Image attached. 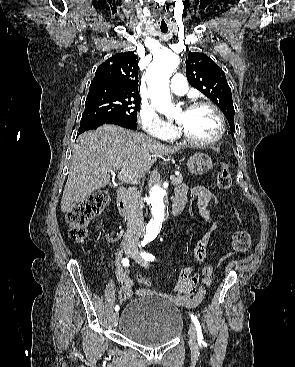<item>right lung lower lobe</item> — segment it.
Returning <instances> with one entry per match:
<instances>
[{
	"instance_id": "98d812e1",
	"label": "right lung lower lobe",
	"mask_w": 295,
	"mask_h": 367,
	"mask_svg": "<svg viewBox=\"0 0 295 367\" xmlns=\"http://www.w3.org/2000/svg\"><path fill=\"white\" fill-rule=\"evenodd\" d=\"M103 124H114V125L128 128V129H133V130L137 129L136 121L128 120V119H113V120H108V121H95V122H90V123L80 125L77 135L85 131H88V130H95L97 129V127Z\"/></svg>"
}]
</instances>
